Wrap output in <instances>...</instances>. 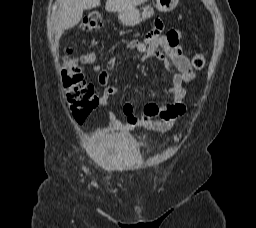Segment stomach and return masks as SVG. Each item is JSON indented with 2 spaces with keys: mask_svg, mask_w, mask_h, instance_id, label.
<instances>
[{
  "mask_svg": "<svg viewBox=\"0 0 256 228\" xmlns=\"http://www.w3.org/2000/svg\"><path fill=\"white\" fill-rule=\"evenodd\" d=\"M179 0H156V8L161 12H170L177 6ZM154 14V10L150 5L143 8L142 13L136 8L131 7L117 12L118 19L125 26H135L142 20L150 18Z\"/></svg>",
  "mask_w": 256,
  "mask_h": 228,
  "instance_id": "stomach-1",
  "label": "stomach"
}]
</instances>
